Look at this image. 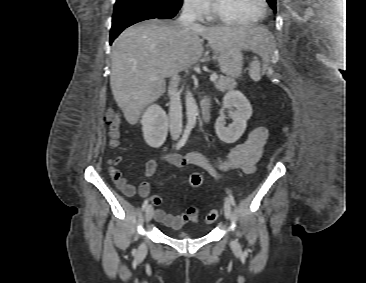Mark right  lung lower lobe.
<instances>
[{
    "label": "right lung lower lobe",
    "instance_id": "98d812e1",
    "mask_svg": "<svg viewBox=\"0 0 366 283\" xmlns=\"http://www.w3.org/2000/svg\"><path fill=\"white\" fill-rule=\"evenodd\" d=\"M178 11L168 10L161 3L154 1L136 2L122 1L117 2L114 6L112 18V27L110 34V44L113 40L127 27L148 19H170L173 18Z\"/></svg>",
    "mask_w": 366,
    "mask_h": 283
}]
</instances>
